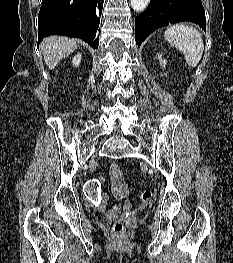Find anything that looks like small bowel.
<instances>
[{
    "instance_id": "c3829d8e",
    "label": "small bowel",
    "mask_w": 233,
    "mask_h": 263,
    "mask_svg": "<svg viewBox=\"0 0 233 263\" xmlns=\"http://www.w3.org/2000/svg\"><path fill=\"white\" fill-rule=\"evenodd\" d=\"M110 179H111V192L117 200H125L124 204L121 206H116L110 209L107 214L112 216L117 214L120 211H128L131 207L130 202L127 201L130 189L125 180L123 172L118 164H112L110 167ZM99 181L102 183L104 179L101 177ZM102 199L98 202L97 208L100 211H104L108 201V196L103 193Z\"/></svg>"
}]
</instances>
